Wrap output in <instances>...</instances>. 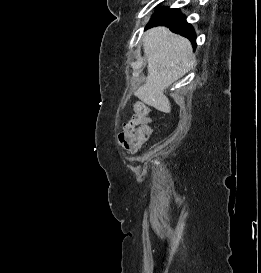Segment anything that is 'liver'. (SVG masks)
I'll use <instances>...</instances> for the list:
<instances>
[{
  "label": "liver",
  "mask_w": 261,
  "mask_h": 273,
  "mask_svg": "<svg viewBox=\"0 0 261 273\" xmlns=\"http://www.w3.org/2000/svg\"><path fill=\"white\" fill-rule=\"evenodd\" d=\"M143 48L148 61V75L135 95L143 103L170 113L171 104L164 91L195 66L192 45L188 39L166 27H155L145 32Z\"/></svg>",
  "instance_id": "liver-1"
}]
</instances>
